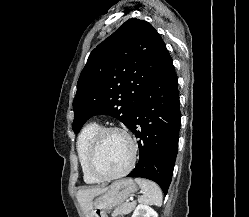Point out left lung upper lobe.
I'll use <instances>...</instances> for the list:
<instances>
[{"mask_svg":"<svg viewBox=\"0 0 249 217\" xmlns=\"http://www.w3.org/2000/svg\"><path fill=\"white\" fill-rule=\"evenodd\" d=\"M169 52L153 26L131 18L89 55L73 101V130L96 114L110 115L129 127L132 112L157 77Z\"/></svg>","mask_w":249,"mask_h":217,"instance_id":"5c2ea615","label":"left lung upper lobe"}]
</instances>
